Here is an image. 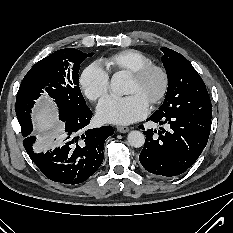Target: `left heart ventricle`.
I'll return each mask as SVG.
<instances>
[{
    "instance_id": "obj_1",
    "label": "left heart ventricle",
    "mask_w": 233,
    "mask_h": 233,
    "mask_svg": "<svg viewBox=\"0 0 233 233\" xmlns=\"http://www.w3.org/2000/svg\"><path fill=\"white\" fill-rule=\"evenodd\" d=\"M161 87V78L157 73L149 74L145 79L136 82L129 78L126 94H137L147 104L158 94Z\"/></svg>"
}]
</instances>
